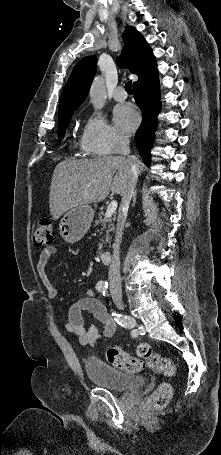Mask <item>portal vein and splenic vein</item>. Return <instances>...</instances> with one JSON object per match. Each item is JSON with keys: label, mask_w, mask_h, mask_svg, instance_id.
I'll return each instance as SVG.
<instances>
[{"label": "portal vein and splenic vein", "mask_w": 221, "mask_h": 455, "mask_svg": "<svg viewBox=\"0 0 221 455\" xmlns=\"http://www.w3.org/2000/svg\"><path fill=\"white\" fill-rule=\"evenodd\" d=\"M117 209V202L113 200L107 207L106 213H105V218H110Z\"/></svg>", "instance_id": "portal-vein-and-splenic-vein-1"}]
</instances>
